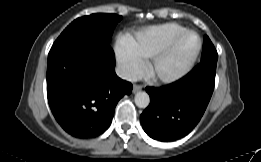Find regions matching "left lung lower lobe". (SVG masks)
<instances>
[{"label":"left lung lower lobe","instance_id":"1","mask_svg":"<svg viewBox=\"0 0 261 162\" xmlns=\"http://www.w3.org/2000/svg\"><path fill=\"white\" fill-rule=\"evenodd\" d=\"M215 59L201 61L180 80L163 87H147L151 102L140 116L151 138L174 141L189 134L201 120L214 90Z\"/></svg>","mask_w":261,"mask_h":162}]
</instances>
